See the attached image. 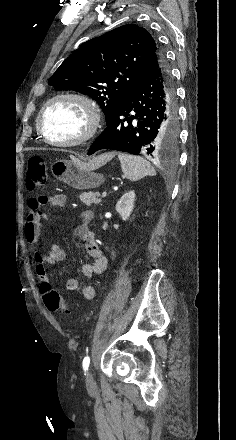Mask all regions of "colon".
<instances>
[{
    "label": "colon",
    "instance_id": "obj_1",
    "mask_svg": "<svg viewBox=\"0 0 236 440\" xmlns=\"http://www.w3.org/2000/svg\"><path fill=\"white\" fill-rule=\"evenodd\" d=\"M48 179V171L45 160L42 157L30 158L27 170V186L31 190L42 188ZM41 294L45 307L52 312H67L65 302L59 292L48 283L41 286Z\"/></svg>",
    "mask_w": 236,
    "mask_h": 440
}]
</instances>
